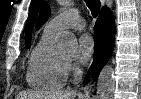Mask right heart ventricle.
Returning a JSON list of instances; mask_svg holds the SVG:
<instances>
[{
  "label": "right heart ventricle",
  "instance_id": "obj_1",
  "mask_svg": "<svg viewBox=\"0 0 141 99\" xmlns=\"http://www.w3.org/2000/svg\"><path fill=\"white\" fill-rule=\"evenodd\" d=\"M55 34L44 30L31 52L26 72L28 85L36 90L48 91L62 88L66 82V62L52 51Z\"/></svg>",
  "mask_w": 141,
  "mask_h": 99
}]
</instances>
